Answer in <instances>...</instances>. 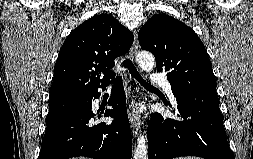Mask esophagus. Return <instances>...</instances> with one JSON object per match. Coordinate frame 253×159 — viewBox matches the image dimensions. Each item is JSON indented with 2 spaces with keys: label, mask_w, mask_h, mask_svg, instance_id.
I'll return each mask as SVG.
<instances>
[{
  "label": "esophagus",
  "mask_w": 253,
  "mask_h": 159,
  "mask_svg": "<svg viewBox=\"0 0 253 159\" xmlns=\"http://www.w3.org/2000/svg\"><path fill=\"white\" fill-rule=\"evenodd\" d=\"M138 39L137 32L134 33V41L130 50V56L132 59H135L138 53ZM135 100L132 99L129 105V121L132 128L133 135H137L138 130L140 129L141 119L134 111Z\"/></svg>",
  "instance_id": "34e87169"
}]
</instances>
